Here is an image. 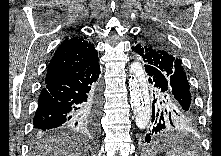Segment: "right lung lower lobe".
I'll use <instances>...</instances> for the list:
<instances>
[{
  "label": "right lung lower lobe",
  "instance_id": "obj_1",
  "mask_svg": "<svg viewBox=\"0 0 221 156\" xmlns=\"http://www.w3.org/2000/svg\"><path fill=\"white\" fill-rule=\"evenodd\" d=\"M99 62L45 84L34 116L36 134L68 128L94 129L101 104Z\"/></svg>",
  "mask_w": 221,
  "mask_h": 156
}]
</instances>
